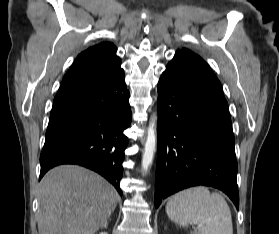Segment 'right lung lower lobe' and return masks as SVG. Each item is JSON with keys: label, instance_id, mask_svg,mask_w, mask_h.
Wrapping results in <instances>:
<instances>
[{"label": "right lung lower lobe", "instance_id": "98d812e1", "mask_svg": "<svg viewBox=\"0 0 279 234\" xmlns=\"http://www.w3.org/2000/svg\"><path fill=\"white\" fill-rule=\"evenodd\" d=\"M122 68L96 83L55 96L40 156V179L51 168L77 164L94 170L122 194L119 183L131 123Z\"/></svg>", "mask_w": 279, "mask_h": 234}]
</instances>
